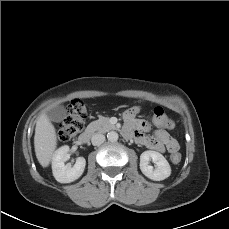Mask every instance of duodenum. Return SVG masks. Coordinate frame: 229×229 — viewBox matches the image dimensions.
I'll use <instances>...</instances> for the list:
<instances>
[{
	"label": "duodenum",
	"instance_id": "obj_1",
	"mask_svg": "<svg viewBox=\"0 0 229 229\" xmlns=\"http://www.w3.org/2000/svg\"><path fill=\"white\" fill-rule=\"evenodd\" d=\"M126 132L123 131V134H125ZM94 135V129L93 128H89L88 130H86L84 133H82L79 138H78V144L80 145H85L87 143L90 142V140L92 139Z\"/></svg>",
	"mask_w": 229,
	"mask_h": 229
}]
</instances>
